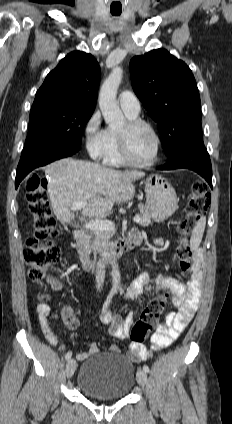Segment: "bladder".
I'll list each match as a JSON object with an SVG mask.
<instances>
[{"instance_id": "31cf9c89", "label": "bladder", "mask_w": 232, "mask_h": 424, "mask_svg": "<svg viewBox=\"0 0 232 424\" xmlns=\"http://www.w3.org/2000/svg\"><path fill=\"white\" fill-rule=\"evenodd\" d=\"M134 365L120 353H99L86 359L79 370L77 387L96 399H122L133 388Z\"/></svg>"}]
</instances>
